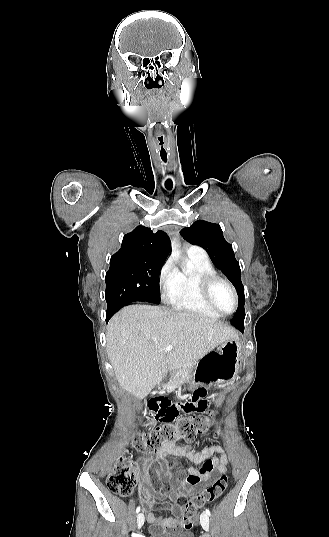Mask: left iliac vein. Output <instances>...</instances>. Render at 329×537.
Returning <instances> with one entry per match:
<instances>
[{
	"mask_svg": "<svg viewBox=\"0 0 329 537\" xmlns=\"http://www.w3.org/2000/svg\"><path fill=\"white\" fill-rule=\"evenodd\" d=\"M200 523L205 531L209 530V516L206 513H202L200 516Z\"/></svg>",
	"mask_w": 329,
	"mask_h": 537,
	"instance_id": "left-iliac-vein-1",
	"label": "left iliac vein"
}]
</instances>
